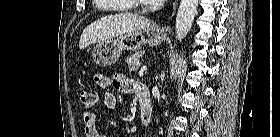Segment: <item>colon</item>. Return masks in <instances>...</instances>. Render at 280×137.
Returning <instances> with one entry per match:
<instances>
[{
  "instance_id": "1",
  "label": "colon",
  "mask_w": 280,
  "mask_h": 137,
  "mask_svg": "<svg viewBox=\"0 0 280 137\" xmlns=\"http://www.w3.org/2000/svg\"><path fill=\"white\" fill-rule=\"evenodd\" d=\"M80 102L86 108H94L97 104V96L92 91H82L80 93Z\"/></svg>"
}]
</instances>
